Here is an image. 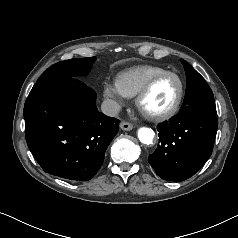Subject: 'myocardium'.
<instances>
[{
    "label": "myocardium",
    "mask_w": 238,
    "mask_h": 238,
    "mask_svg": "<svg viewBox=\"0 0 238 238\" xmlns=\"http://www.w3.org/2000/svg\"><path fill=\"white\" fill-rule=\"evenodd\" d=\"M167 76H173L179 82V92H178L176 100L174 101V103L172 104V106L170 108H168L167 110H165L163 112H160V113L146 112L142 106L144 99L150 93V91L153 88V86L155 85V83L157 81H159L160 79L167 77ZM184 94H185V82H184L183 78L175 72L164 71L162 73L154 75L145 84V86L141 89V91L136 96L135 104H136V107L139 110V112L144 117H146L147 119L152 120V121L161 122V121H165V120L172 118L179 111L182 101H183V98H184Z\"/></svg>",
    "instance_id": "1"
}]
</instances>
